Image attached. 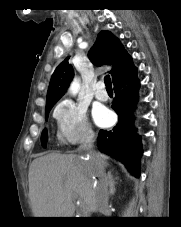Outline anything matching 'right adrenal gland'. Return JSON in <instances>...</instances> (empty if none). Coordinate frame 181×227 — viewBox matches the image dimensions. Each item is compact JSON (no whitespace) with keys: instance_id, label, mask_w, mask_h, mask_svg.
<instances>
[{"instance_id":"obj_1","label":"right adrenal gland","mask_w":181,"mask_h":227,"mask_svg":"<svg viewBox=\"0 0 181 227\" xmlns=\"http://www.w3.org/2000/svg\"><path fill=\"white\" fill-rule=\"evenodd\" d=\"M107 179L109 181V188H110L109 196H113L115 194V191H116V189H115V184H116L115 180H118V178H113L112 172L109 171L108 174H107Z\"/></svg>"}]
</instances>
